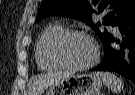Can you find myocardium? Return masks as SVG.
I'll return each mask as SVG.
<instances>
[{"instance_id":"obj_1","label":"myocardium","mask_w":135,"mask_h":95,"mask_svg":"<svg viewBox=\"0 0 135 95\" xmlns=\"http://www.w3.org/2000/svg\"><path fill=\"white\" fill-rule=\"evenodd\" d=\"M74 36L83 37L89 40L93 46L94 55L92 59L85 64L82 65L69 64L61 57L60 48L62 44L65 42V40ZM49 50H50V56L55 63H57L61 68L74 70V71L85 70L92 67L98 61L99 58V47L96 44L95 40L89 34L80 30H64L53 39V41L50 44Z\"/></svg>"}]
</instances>
